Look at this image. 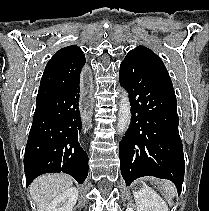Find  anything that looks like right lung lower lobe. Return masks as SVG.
Wrapping results in <instances>:
<instances>
[{"mask_svg":"<svg viewBox=\"0 0 209 211\" xmlns=\"http://www.w3.org/2000/svg\"><path fill=\"white\" fill-rule=\"evenodd\" d=\"M81 129L79 82L36 105L24 156L26 186L51 172L84 182L88 156L78 142Z\"/></svg>","mask_w":209,"mask_h":211,"instance_id":"98d812e1","label":"right lung lower lobe"}]
</instances>
